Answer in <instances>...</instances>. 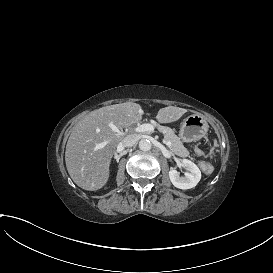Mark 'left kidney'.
Segmentation results:
<instances>
[{"instance_id": "obj_1", "label": "left kidney", "mask_w": 273, "mask_h": 273, "mask_svg": "<svg viewBox=\"0 0 273 273\" xmlns=\"http://www.w3.org/2000/svg\"><path fill=\"white\" fill-rule=\"evenodd\" d=\"M182 166L187 170L185 176L181 177L176 170L169 171V178L172 184L179 189H191L195 187L201 179V171L192 161L183 159Z\"/></svg>"}]
</instances>
